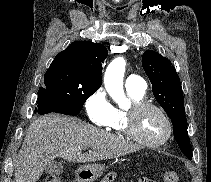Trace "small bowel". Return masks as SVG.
I'll use <instances>...</instances> for the list:
<instances>
[{
  "label": "small bowel",
  "mask_w": 211,
  "mask_h": 182,
  "mask_svg": "<svg viewBox=\"0 0 211 182\" xmlns=\"http://www.w3.org/2000/svg\"><path fill=\"white\" fill-rule=\"evenodd\" d=\"M140 182H155V181L148 180V179H142Z\"/></svg>",
  "instance_id": "1"
}]
</instances>
